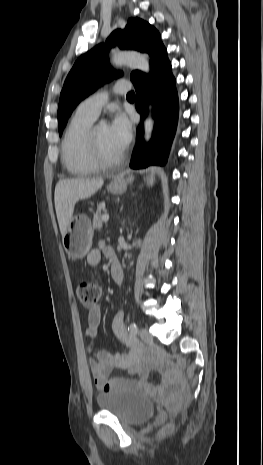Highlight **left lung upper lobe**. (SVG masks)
Listing matches in <instances>:
<instances>
[{"label":"left lung upper lobe","instance_id":"obj_1","mask_svg":"<svg viewBox=\"0 0 263 465\" xmlns=\"http://www.w3.org/2000/svg\"><path fill=\"white\" fill-rule=\"evenodd\" d=\"M118 45L121 49H132L151 55L161 46L159 32L139 18H130L124 30H115L106 40L80 56L69 72L60 94L58 107V130L61 136L72 111L85 97L105 82L122 75L109 66L108 50ZM140 71L131 73V80Z\"/></svg>","mask_w":263,"mask_h":465}]
</instances>
